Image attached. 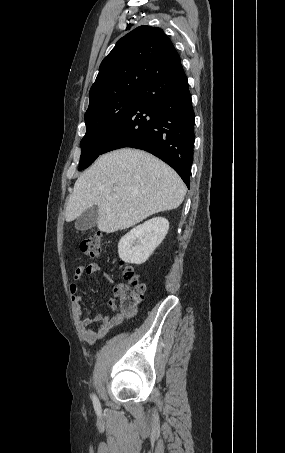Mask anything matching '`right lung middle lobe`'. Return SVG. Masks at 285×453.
Masks as SVG:
<instances>
[{
	"label": "right lung middle lobe",
	"mask_w": 285,
	"mask_h": 453,
	"mask_svg": "<svg viewBox=\"0 0 285 453\" xmlns=\"http://www.w3.org/2000/svg\"><path fill=\"white\" fill-rule=\"evenodd\" d=\"M140 97V91L109 99L85 113L86 134L81 140L79 170L90 166L103 154V149Z\"/></svg>",
	"instance_id": "dd1d6c3e"
}]
</instances>
